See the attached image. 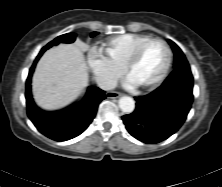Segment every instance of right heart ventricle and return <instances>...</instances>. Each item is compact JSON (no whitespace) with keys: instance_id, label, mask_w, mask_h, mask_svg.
<instances>
[{"instance_id":"right-heart-ventricle-1","label":"right heart ventricle","mask_w":222,"mask_h":187,"mask_svg":"<svg viewBox=\"0 0 222 187\" xmlns=\"http://www.w3.org/2000/svg\"><path fill=\"white\" fill-rule=\"evenodd\" d=\"M147 38L149 37L139 34H124L112 37L104 43L105 54L107 58L122 69L136 46Z\"/></svg>"}]
</instances>
